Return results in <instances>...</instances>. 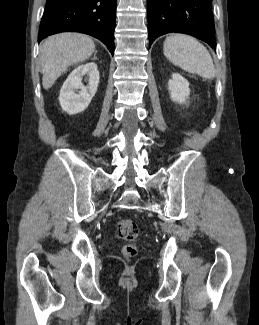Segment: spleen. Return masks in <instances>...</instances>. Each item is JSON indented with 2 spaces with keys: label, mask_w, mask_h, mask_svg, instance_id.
Returning a JSON list of instances; mask_svg holds the SVG:
<instances>
[{
  "label": "spleen",
  "mask_w": 259,
  "mask_h": 325,
  "mask_svg": "<svg viewBox=\"0 0 259 325\" xmlns=\"http://www.w3.org/2000/svg\"><path fill=\"white\" fill-rule=\"evenodd\" d=\"M164 55L181 69L205 79L215 76L212 57L204 45L188 35H171L164 41Z\"/></svg>",
  "instance_id": "spleen-1"
}]
</instances>
